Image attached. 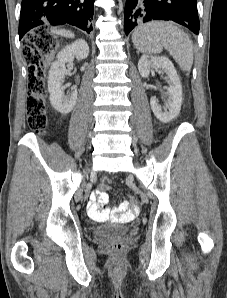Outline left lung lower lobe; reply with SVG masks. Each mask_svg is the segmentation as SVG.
Instances as JSON below:
<instances>
[{"instance_id":"left-lung-lower-lobe-1","label":"left lung lower lobe","mask_w":227,"mask_h":298,"mask_svg":"<svg viewBox=\"0 0 227 298\" xmlns=\"http://www.w3.org/2000/svg\"><path fill=\"white\" fill-rule=\"evenodd\" d=\"M151 20H172L198 34L200 24L197 0H127L124 29L128 34L135 26Z\"/></svg>"}]
</instances>
